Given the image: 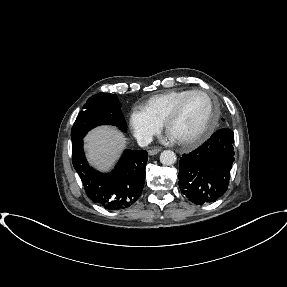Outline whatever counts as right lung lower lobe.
Returning a JSON list of instances; mask_svg holds the SVG:
<instances>
[{
    "instance_id": "right-lung-lower-lobe-1",
    "label": "right lung lower lobe",
    "mask_w": 287,
    "mask_h": 287,
    "mask_svg": "<svg viewBox=\"0 0 287 287\" xmlns=\"http://www.w3.org/2000/svg\"><path fill=\"white\" fill-rule=\"evenodd\" d=\"M73 166L87 196L107 210L125 209L140 196L145 182L147 151L125 150L115 169L100 173L88 164L83 140L72 146Z\"/></svg>"
}]
</instances>
